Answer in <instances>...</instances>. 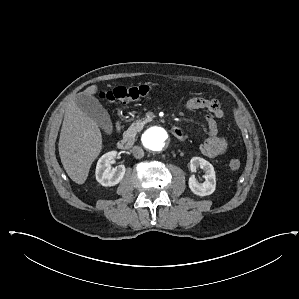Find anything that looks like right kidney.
Masks as SVG:
<instances>
[{
	"instance_id": "1",
	"label": "right kidney",
	"mask_w": 299,
	"mask_h": 299,
	"mask_svg": "<svg viewBox=\"0 0 299 299\" xmlns=\"http://www.w3.org/2000/svg\"><path fill=\"white\" fill-rule=\"evenodd\" d=\"M117 156L116 151L107 152L102 155L96 166L95 176L96 180L102 186H114L117 185L125 175V166L119 165L116 168L111 169L110 162Z\"/></svg>"
}]
</instances>
